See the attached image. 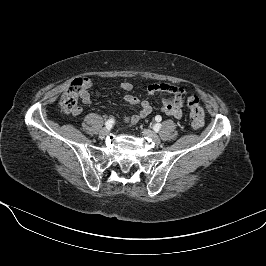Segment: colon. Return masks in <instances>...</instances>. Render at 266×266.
Wrapping results in <instances>:
<instances>
[{"mask_svg": "<svg viewBox=\"0 0 266 266\" xmlns=\"http://www.w3.org/2000/svg\"><path fill=\"white\" fill-rule=\"evenodd\" d=\"M81 89V79L75 80L69 89L62 95L61 106L69 113H73L78 108V100ZM190 110V122L193 128H200L204 123V110L199 103V99L191 96L188 99Z\"/></svg>", "mask_w": 266, "mask_h": 266, "instance_id": "obj_1", "label": "colon"}]
</instances>
